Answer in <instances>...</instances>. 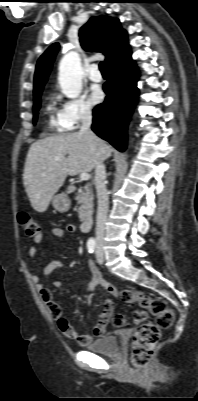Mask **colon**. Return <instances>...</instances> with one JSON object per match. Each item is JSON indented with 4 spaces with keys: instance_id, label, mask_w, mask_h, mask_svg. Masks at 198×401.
Masks as SVG:
<instances>
[{
    "instance_id": "5ec220e1",
    "label": "colon",
    "mask_w": 198,
    "mask_h": 401,
    "mask_svg": "<svg viewBox=\"0 0 198 401\" xmlns=\"http://www.w3.org/2000/svg\"><path fill=\"white\" fill-rule=\"evenodd\" d=\"M18 223L27 237H35L39 232L36 220L26 212L18 214ZM113 288L111 287V289ZM121 298L125 303H137L141 307V310L133 314L135 322L140 324L134 332L130 351L131 365L135 368H141L150 361L159 342L161 328L170 327L175 320V314L165 301L134 289L123 290ZM148 313L155 317L156 323L144 322ZM113 323L116 328H123L127 324V318L124 314H117Z\"/></svg>"
}]
</instances>
